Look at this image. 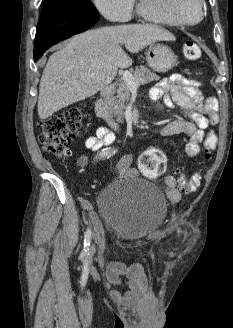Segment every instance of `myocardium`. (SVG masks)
<instances>
[{
	"mask_svg": "<svg viewBox=\"0 0 233 328\" xmlns=\"http://www.w3.org/2000/svg\"><path fill=\"white\" fill-rule=\"evenodd\" d=\"M143 10L153 19L166 24L176 26H195L199 24L205 17V0H199L200 3V16L195 21H185L173 15L164 0H140Z\"/></svg>",
	"mask_w": 233,
	"mask_h": 328,
	"instance_id": "f54148a6",
	"label": "myocardium"
}]
</instances>
